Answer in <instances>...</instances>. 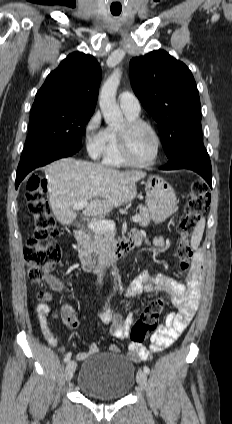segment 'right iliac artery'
<instances>
[{
  "mask_svg": "<svg viewBox=\"0 0 232 424\" xmlns=\"http://www.w3.org/2000/svg\"><path fill=\"white\" fill-rule=\"evenodd\" d=\"M109 299H110V297L108 298V301H109ZM70 358H71V352H68V353L65 355L64 361H65V362H68V361L70 360Z\"/></svg>",
  "mask_w": 232,
  "mask_h": 424,
  "instance_id": "obj_1",
  "label": "right iliac artery"
}]
</instances>
